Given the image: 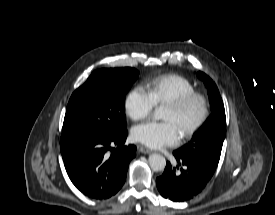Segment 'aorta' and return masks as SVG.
<instances>
[{
    "label": "aorta",
    "mask_w": 275,
    "mask_h": 215,
    "mask_svg": "<svg viewBox=\"0 0 275 215\" xmlns=\"http://www.w3.org/2000/svg\"><path fill=\"white\" fill-rule=\"evenodd\" d=\"M155 120H160L162 118V110L156 109L154 111ZM149 165L155 171H162L166 166L165 158L160 154H151L149 156Z\"/></svg>",
    "instance_id": "obj_1"
}]
</instances>
